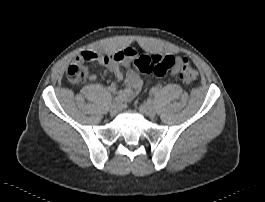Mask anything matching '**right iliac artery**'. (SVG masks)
I'll list each match as a JSON object with an SVG mask.
<instances>
[{
    "label": "right iliac artery",
    "instance_id": "right-iliac-artery-1",
    "mask_svg": "<svg viewBox=\"0 0 265 202\" xmlns=\"http://www.w3.org/2000/svg\"><path fill=\"white\" fill-rule=\"evenodd\" d=\"M122 98L120 96H116L113 98V104H121L122 103Z\"/></svg>",
    "mask_w": 265,
    "mask_h": 202
}]
</instances>
